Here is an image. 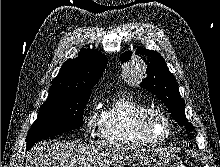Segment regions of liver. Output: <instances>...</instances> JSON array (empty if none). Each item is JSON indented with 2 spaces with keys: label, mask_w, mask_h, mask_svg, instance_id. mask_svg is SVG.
Returning a JSON list of instances; mask_svg holds the SVG:
<instances>
[{
  "label": "liver",
  "mask_w": 220,
  "mask_h": 167,
  "mask_svg": "<svg viewBox=\"0 0 220 167\" xmlns=\"http://www.w3.org/2000/svg\"><path fill=\"white\" fill-rule=\"evenodd\" d=\"M127 150V146L104 142H40L28 155L26 167H111Z\"/></svg>",
  "instance_id": "1"
}]
</instances>
